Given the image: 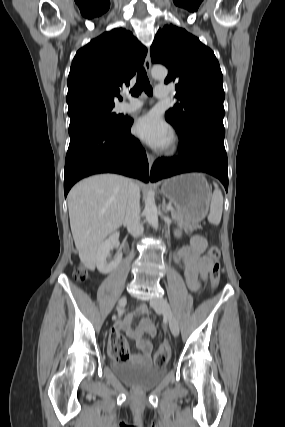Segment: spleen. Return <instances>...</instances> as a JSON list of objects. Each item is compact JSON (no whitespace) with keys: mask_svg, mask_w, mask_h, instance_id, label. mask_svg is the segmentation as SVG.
Returning a JSON list of instances; mask_svg holds the SVG:
<instances>
[{"mask_svg":"<svg viewBox=\"0 0 285 427\" xmlns=\"http://www.w3.org/2000/svg\"><path fill=\"white\" fill-rule=\"evenodd\" d=\"M215 190L211 196L210 213L208 215V221L211 224L218 225L221 221L223 211V195L221 190L216 184Z\"/></svg>","mask_w":285,"mask_h":427,"instance_id":"spleen-1","label":"spleen"}]
</instances>
